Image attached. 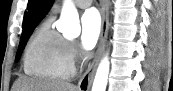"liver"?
<instances>
[{
    "label": "liver",
    "instance_id": "6515ba94",
    "mask_svg": "<svg viewBox=\"0 0 173 91\" xmlns=\"http://www.w3.org/2000/svg\"><path fill=\"white\" fill-rule=\"evenodd\" d=\"M12 91H76V87L60 80H38L20 77L15 81Z\"/></svg>",
    "mask_w": 173,
    "mask_h": 91
}]
</instances>
